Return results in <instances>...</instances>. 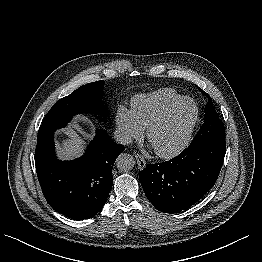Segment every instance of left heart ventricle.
Segmentation results:
<instances>
[{
	"mask_svg": "<svg viewBox=\"0 0 262 262\" xmlns=\"http://www.w3.org/2000/svg\"><path fill=\"white\" fill-rule=\"evenodd\" d=\"M195 113L194 104L184 102L152 135V146L161 151L175 147L182 139Z\"/></svg>",
	"mask_w": 262,
	"mask_h": 262,
	"instance_id": "left-heart-ventricle-1",
	"label": "left heart ventricle"
}]
</instances>
